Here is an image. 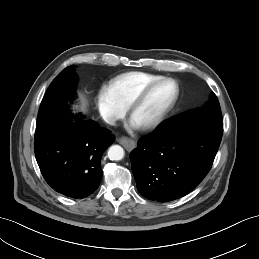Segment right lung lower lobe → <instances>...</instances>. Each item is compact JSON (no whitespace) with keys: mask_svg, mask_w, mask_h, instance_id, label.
I'll list each match as a JSON object with an SVG mask.
<instances>
[{"mask_svg":"<svg viewBox=\"0 0 259 259\" xmlns=\"http://www.w3.org/2000/svg\"><path fill=\"white\" fill-rule=\"evenodd\" d=\"M114 140L109 130L92 120L55 116L35 131V156L51 188L80 199L99 187L101 157Z\"/></svg>","mask_w":259,"mask_h":259,"instance_id":"98d812e1","label":"right lung lower lobe"}]
</instances>
